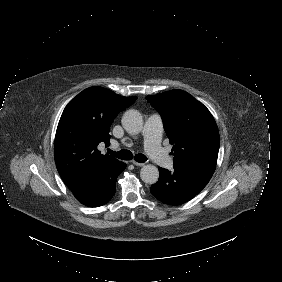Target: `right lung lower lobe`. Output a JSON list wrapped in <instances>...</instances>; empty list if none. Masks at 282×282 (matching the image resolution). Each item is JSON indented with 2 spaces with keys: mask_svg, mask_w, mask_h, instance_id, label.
Returning <instances> with one entry per match:
<instances>
[{
  "mask_svg": "<svg viewBox=\"0 0 282 282\" xmlns=\"http://www.w3.org/2000/svg\"><path fill=\"white\" fill-rule=\"evenodd\" d=\"M119 162L94 171L73 189L74 196L88 207H98L111 200L116 191L118 175L126 168Z\"/></svg>",
  "mask_w": 282,
  "mask_h": 282,
  "instance_id": "obj_1",
  "label": "right lung lower lobe"
}]
</instances>
